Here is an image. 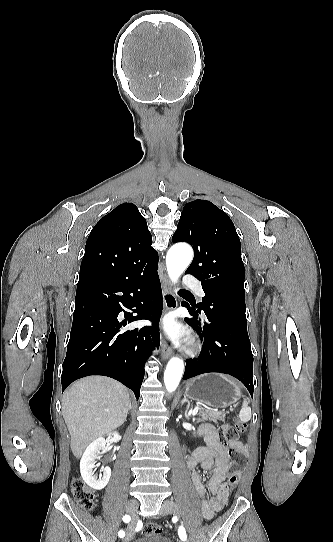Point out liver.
I'll return each instance as SVG.
<instances>
[{
  "label": "liver",
  "mask_w": 333,
  "mask_h": 542,
  "mask_svg": "<svg viewBox=\"0 0 333 542\" xmlns=\"http://www.w3.org/2000/svg\"><path fill=\"white\" fill-rule=\"evenodd\" d=\"M127 388L105 376H87L72 384L62 400V416L71 436V450L81 458L90 442L126 422Z\"/></svg>",
  "instance_id": "liver-1"
}]
</instances>
